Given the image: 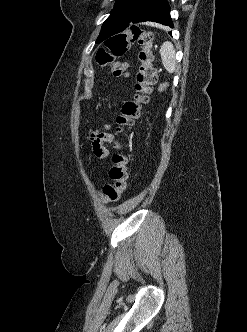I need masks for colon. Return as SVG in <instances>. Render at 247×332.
<instances>
[{
    "label": "colon",
    "mask_w": 247,
    "mask_h": 332,
    "mask_svg": "<svg viewBox=\"0 0 247 332\" xmlns=\"http://www.w3.org/2000/svg\"><path fill=\"white\" fill-rule=\"evenodd\" d=\"M153 36L150 32L133 25L123 33L110 38L106 49L97 52L96 60L101 66L110 67L117 77L128 76L127 64L116 61L122 56L133 42L140 45L139 60L141 62L134 84V95L132 99L124 102L121 113L116 117V132L124 135L132 128L136 119L141 114L142 107L149 101L151 87L156 80V71L153 66L152 52ZM115 153L112 157L113 166L110 169L111 184L105 185L100 190V196L104 202L117 201L127 188L129 159L124 152V146L120 140L113 142Z\"/></svg>",
    "instance_id": "1"
}]
</instances>
